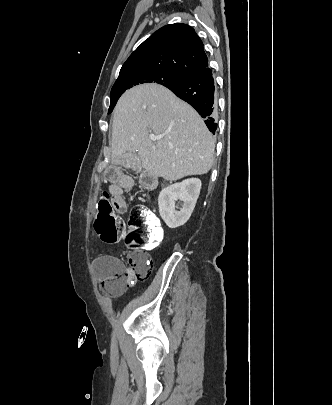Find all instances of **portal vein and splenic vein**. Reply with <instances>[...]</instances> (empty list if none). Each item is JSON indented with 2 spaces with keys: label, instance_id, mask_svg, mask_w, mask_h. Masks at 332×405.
<instances>
[{
  "label": "portal vein and splenic vein",
  "instance_id": "obj_1",
  "mask_svg": "<svg viewBox=\"0 0 332 405\" xmlns=\"http://www.w3.org/2000/svg\"><path fill=\"white\" fill-rule=\"evenodd\" d=\"M149 138H150L152 141H157V140L159 139L157 136H155V135H153V134H151V135L149 136Z\"/></svg>",
  "mask_w": 332,
  "mask_h": 405
}]
</instances>
